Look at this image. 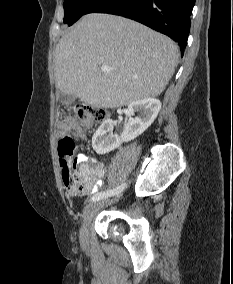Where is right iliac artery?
Listing matches in <instances>:
<instances>
[{
  "instance_id": "right-iliac-artery-1",
  "label": "right iliac artery",
  "mask_w": 233,
  "mask_h": 284,
  "mask_svg": "<svg viewBox=\"0 0 233 284\" xmlns=\"http://www.w3.org/2000/svg\"><path fill=\"white\" fill-rule=\"evenodd\" d=\"M125 187H126V184L124 183L114 189L98 192L92 196L91 200L95 202L100 199H104V198L119 194L124 190Z\"/></svg>"
}]
</instances>
